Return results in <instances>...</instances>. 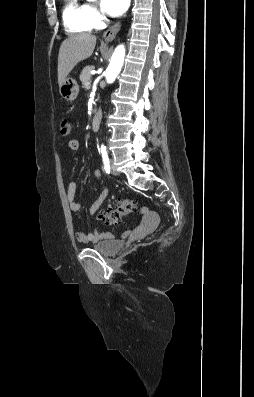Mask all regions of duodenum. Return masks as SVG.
Instances as JSON below:
<instances>
[{
  "label": "duodenum",
  "instance_id": "obj_1",
  "mask_svg": "<svg viewBox=\"0 0 254 397\" xmlns=\"http://www.w3.org/2000/svg\"><path fill=\"white\" fill-rule=\"evenodd\" d=\"M101 117H102V113L101 111H96L93 115V119H92V129L93 130H97L100 126V122H101Z\"/></svg>",
  "mask_w": 254,
  "mask_h": 397
}]
</instances>
